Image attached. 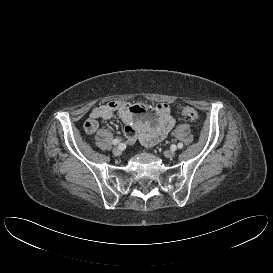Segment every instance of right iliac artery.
<instances>
[{
  "instance_id": "obj_1",
  "label": "right iliac artery",
  "mask_w": 273,
  "mask_h": 273,
  "mask_svg": "<svg viewBox=\"0 0 273 273\" xmlns=\"http://www.w3.org/2000/svg\"><path fill=\"white\" fill-rule=\"evenodd\" d=\"M121 142V139H119V138H116V139H114L113 141H112V143L114 144V145H117V144H119Z\"/></svg>"
}]
</instances>
